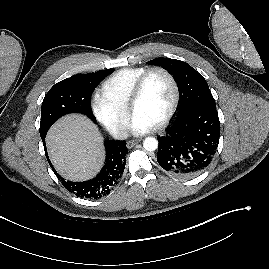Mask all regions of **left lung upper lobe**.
<instances>
[{
    "label": "left lung upper lobe",
    "mask_w": 269,
    "mask_h": 269,
    "mask_svg": "<svg viewBox=\"0 0 269 269\" xmlns=\"http://www.w3.org/2000/svg\"><path fill=\"white\" fill-rule=\"evenodd\" d=\"M147 64L161 66L174 76L180 94L177 117L196 107H216L206 80L189 64L170 58H156Z\"/></svg>",
    "instance_id": "1"
}]
</instances>
